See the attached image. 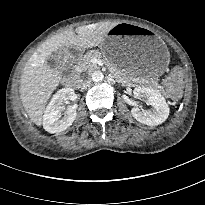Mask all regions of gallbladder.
I'll return each instance as SVG.
<instances>
[{
  "instance_id": "obj_1",
  "label": "gallbladder",
  "mask_w": 205,
  "mask_h": 205,
  "mask_svg": "<svg viewBox=\"0 0 205 205\" xmlns=\"http://www.w3.org/2000/svg\"><path fill=\"white\" fill-rule=\"evenodd\" d=\"M68 54V48L59 49L47 59V66L53 70L61 71L64 75H68L69 69L67 64L63 63L64 58L67 57Z\"/></svg>"
}]
</instances>
